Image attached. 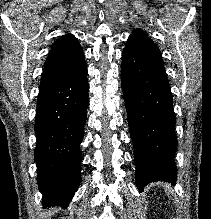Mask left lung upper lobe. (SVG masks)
Wrapping results in <instances>:
<instances>
[{"instance_id":"left-lung-upper-lobe-1","label":"left lung upper lobe","mask_w":211,"mask_h":219,"mask_svg":"<svg viewBox=\"0 0 211 219\" xmlns=\"http://www.w3.org/2000/svg\"><path fill=\"white\" fill-rule=\"evenodd\" d=\"M131 36H143L146 37V35L139 29H136V31Z\"/></svg>"}]
</instances>
